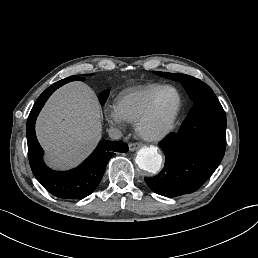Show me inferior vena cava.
I'll return each instance as SVG.
<instances>
[{
  "label": "inferior vena cava",
  "mask_w": 258,
  "mask_h": 258,
  "mask_svg": "<svg viewBox=\"0 0 258 258\" xmlns=\"http://www.w3.org/2000/svg\"><path fill=\"white\" fill-rule=\"evenodd\" d=\"M108 133L110 138L114 140H118L122 137V131L115 127L110 128Z\"/></svg>",
  "instance_id": "602c4592"
}]
</instances>
